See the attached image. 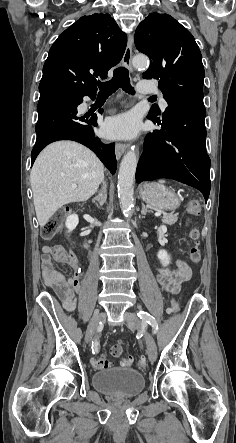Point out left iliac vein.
Returning a JSON list of instances; mask_svg holds the SVG:
<instances>
[{
	"label": "left iliac vein",
	"mask_w": 236,
	"mask_h": 443,
	"mask_svg": "<svg viewBox=\"0 0 236 443\" xmlns=\"http://www.w3.org/2000/svg\"><path fill=\"white\" fill-rule=\"evenodd\" d=\"M125 320L130 328L138 329L144 334L149 360L154 362L157 358V346L151 334L142 329L141 321L136 314L126 312Z\"/></svg>",
	"instance_id": "obj_1"
}]
</instances>
